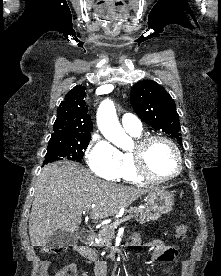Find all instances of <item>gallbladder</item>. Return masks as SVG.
I'll return each instance as SVG.
<instances>
[{
  "label": "gallbladder",
  "instance_id": "bac80fb5",
  "mask_svg": "<svg viewBox=\"0 0 221 276\" xmlns=\"http://www.w3.org/2000/svg\"><path fill=\"white\" fill-rule=\"evenodd\" d=\"M76 243L77 236L75 233L65 232L58 229L51 235L48 245L51 247H67L73 246Z\"/></svg>",
  "mask_w": 221,
  "mask_h": 276
}]
</instances>
